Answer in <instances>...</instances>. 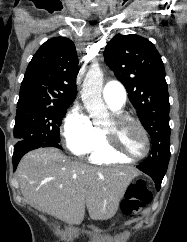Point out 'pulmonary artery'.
<instances>
[{
  "instance_id": "1",
  "label": "pulmonary artery",
  "mask_w": 187,
  "mask_h": 242,
  "mask_svg": "<svg viewBox=\"0 0 187 242\" xmlns=\"http://www.w3.org/2000/svg\"><path fill=\"white\" fill-rule=\"evenodd\" d=\"M105 103L113 110L122 108L126 102V90L118 81L108 82L102 92Z\"/></svg>"
}]
</instances>
